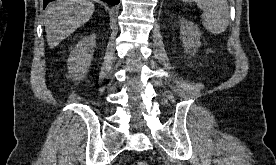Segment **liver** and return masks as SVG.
Returning a JSON list of instances; mask_svg holds the SVG:
<instances>
[{
    "mask_svg": "<svg viewBox=\"0 0 276 165\" xmlns=\"http://www.w3.org/2000/svg\"><path fill=\"white\" fill-rule=\"evenodd\" d=\"M93 13L94 4L88 0H58L50 3L44 20L49 47H56L88 22Z\"/></svg>",
    "mask_w": 276,
    "mask_h": 165,
    "instance_id": "6515ba94",
    "label": "liver"
}]
</instances>
